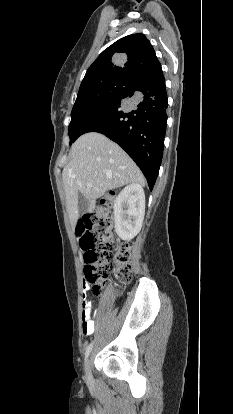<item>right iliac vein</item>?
Here are the masks:
<instances>
[{
    "instance_id": "1",
    "label": "right iliac vein",
    "mask_w": 233,
    "mask_h": 414,
    "mask_svg": "<svg viewBox=\"0 0 233 414\" xmlns=\"http://www.w3.org/2000/svg\"><path fill=\"white\" fill-rule=\"evenodd\" d=\"M85 373H86V377L89 378L90 375H91V372H90V360L89 359L86 361Z\"/></svg>"
}]
</instances>
